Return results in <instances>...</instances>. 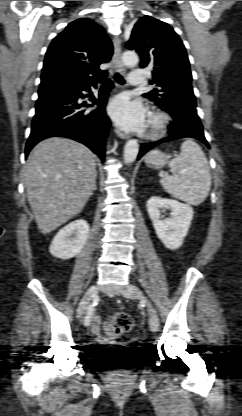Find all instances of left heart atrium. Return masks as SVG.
<instances>
[{
	"label": "left heart atrium",
	"instance_id": "left-heart-atrium-1",
	"mask_svg": "<svg viewBox=\"0 0 242 416\" xmlns=\"http://www.w3.org/2000/svg\"><path fill=\"white\" fill-rule=\"evenodd\" d=\"M108 112L126 130L141 131L146 124V108L140 101H132L126 94L114 98L108 106Z\"/></svg>",
	"mask_w": 242,
	"mask_h": 416
}]
</instances>
